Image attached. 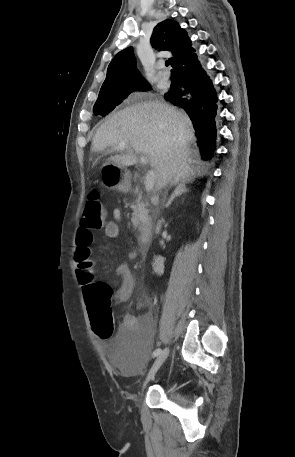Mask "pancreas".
<instances>
[{"label":"pancreas","instance_id":"pancreas-1","mask_svg":"<svg viewBox=\"0 0 295 457\" xmlns=\"http://www.w3.org/2000/svg\"><path fill=\"white\" fill-rule=\"evenodd\" d=\"M146 206L147 204L144 202H137L131 205V208L133 209L131 221L135 228H140L141 223L149 222V218L146 214Z\"/></svg>","mask_w":295,"mask_h":457}]
</instances>
